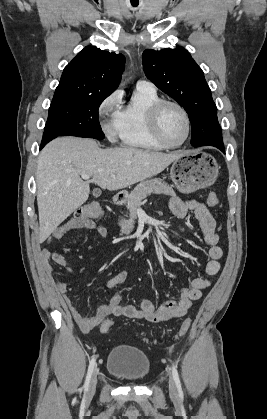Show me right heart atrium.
Listing matches in <instances>:
<instances>
[{"label": "right heart atrium", "instance_id": "d8ad5b80", "mask_svg": "<svg viewBox=\"0 0 267 419\" xmlns=\"http://www.w3.org/2000/svg\"><path fill=\"white\" fill-rule=\"evenodd\" d=\"M120 100V94L118 92H113L107 96L98 107L99 117L105 120L102 123V130L110 140H114L117 135L116 116Z\"/></svg>", "mask_w": 267, "mask_h": 419}]
</instances>
